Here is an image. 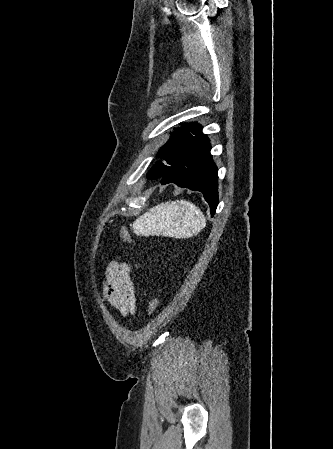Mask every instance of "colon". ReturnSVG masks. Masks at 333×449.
I'll list each match as a JSON object with an SVG mask.
<instances>
[{
    "instance_id": "1",
    "label": "colon",
    "mask_w": 333,
    "mask_h": 449,
    "mask_svg": "<svg viewBox=\"0 0 333 449\" xmlns=\"http://www.w3.org/2000/svg\"><path fill=\"white\" fill-rule=\"evenodd\" d=\"M120 237L122 238L123 241H125L127 243L132 242V235H131L130 231L127 229V227L123 226L120 228ZM159 305H160V299L157 297H152L148 303V313L150 315L155 313L157 311Z\"/></svg>"
}]
</instances>
